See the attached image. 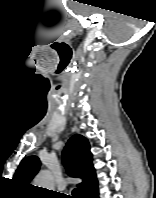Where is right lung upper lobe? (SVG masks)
Listing matches in <instances>:
<instances>
[{
    "label": "right lung upper lobe",
    "instance_id": "right-lung-upper-lobe-1",
    "mask_svg": "<svg viewBox=\"0 0 156 198\" xmlns=\"http://www.w3.org/2000/svg\"><path fill=\"white\" fill-rule=\"evenodd\" d=\"M62 160L69 175L83 179L78 187L83 189L84 198L98 189L95 169L92 164V153L85 137L79 134L72 136L64 148ZM39 167L38 157L24 158L15 172L14 180L27 184L38 172Z\"/></svg>",
    "mask_w": 156,
    "mask_h": 198
}]
</instances>
